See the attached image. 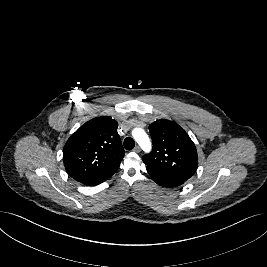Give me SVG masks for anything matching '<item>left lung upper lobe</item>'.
Instances as JSON below:
<instances>
[{"label":"left lung upper lobe","mask_w":267,"mask_h":267,"mask_svg":"<svg viewBox=\"0 0 267 267\" xmlns=\"http://www.w3.org/2000/svg\"><path fill=\"white\" fill-rule=\"evenodd\" d=\"M153 148L143 156L147 169L188 180L197 170V150L188 134L175 122L157 120L149 125Z\"/></svg>","instance_id":"left-lung-upper-lobe-1"}]
</instances>
